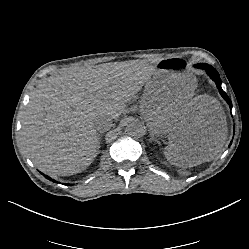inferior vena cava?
<instances>
[{"instance_id":"1","label":"inferior vena cava","mask_w":249,"mask_h":249,"mask_svg":"<svg viewBox=\"0 0 249 249\" xmlns=\"http://www.w3.org/2000/svg\"><path fill=\"white\" fill-rule=\"evenodd\" d=\"M112 126V119L106 115H101L96 119V127L100 132L109 130Z\"/></svg>"}]
</instances>
